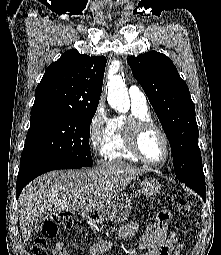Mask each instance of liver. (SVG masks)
<instances>
[{"mask_svg":"<svg viewBox=\"0 0 221 255\" xmlns=\"http://www.w3.org/2000/svg\"><path fill=\"white\" fill-rule=\"evenodd\" d=\"M144 172V169L114 161L87 170L52 171L36 178L18 199L23 241L29 240L39 215L102 209L121 194L135 176Z\"/></svg>","mask_w":221,"mask_h":255,"instance_id":"obj_1","label":"liver"}]
</instances>
